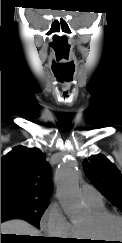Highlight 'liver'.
Masks as SVG:
<instances>
[{"label": "liver", "mask_w": 122, "mask_h": 243, "mask_svg": "<svg viewBox=\"0 0 122 243\" xmlns=\"http://www.w3.org/2000/svg\"><path fill=\"white\" fill-rule=\"evenodd\" d=\"M1 234L41 236L39 230L24 220L14 219L1 223Z\"/></svg>", "instance_id": "obj_1"}]
</instances>
